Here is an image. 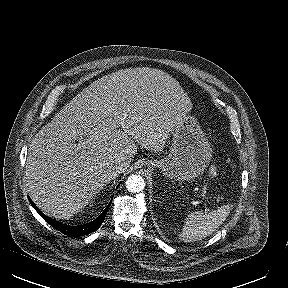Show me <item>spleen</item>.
Segmentation results:
<instances>
[{
  "label": "spleen",
  "mask_w": 288,
  "mask_h": 288,
  "mask_svg": "<svg viewBox=\"0 0 288 288\" xmlns=\"http://www.w3.org/2000/svg\"><path fill=\"white\" fill-rule=\"evenodd\" d=\"M229 206L208 213L197 211L188 215L179 237L184 242L201 240L212 234L229 215Z\"/></svg>",
  "instance_id": "spleen-1"
}]
</instances>
